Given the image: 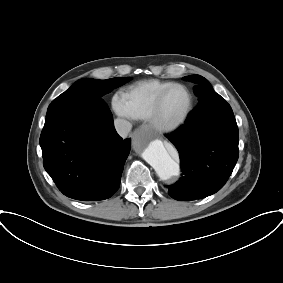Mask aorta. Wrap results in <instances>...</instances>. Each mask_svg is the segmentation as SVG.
Here are the masks:
<instances>
[{
  "label": "aorta",
  "mask_w": 283,
  "mask_h": 283,
  "mask_svg": "<svg viewBox=\"0 0 283 283\" xmlns=\"http://www.w3.org/2000/svg\"><path fill=\"white\" fill-rule=\"evenodd\" d=\"M142 156L162 180H168L180 174L179 164L170 156L160 140L150 141L144 147Z\"/></svg>",
  "instance_id": "762f6f07"
}]
</instances>
